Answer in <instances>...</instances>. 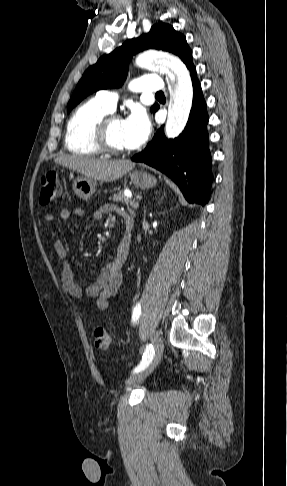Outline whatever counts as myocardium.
<instances>
[{
    "label": "myocardium",
    "instance_id": "obj_1",
    "mask_svg": "<svg viewBox=\"0 0 287 486\" xmlns=\"http://www.w3.org/2000/svg\"><path fill=\"white\" fill-rule=\"evenodd\" d=\"M117 119H121L119 115L115 113H108L96 124L94 128V142L101 152L112 155H121L129 152L128 149L117 148L109 142V126L112 121Z\"/></svg>",
    "mask_w": 287,
    "mask_h": 486
}]
</instances>
